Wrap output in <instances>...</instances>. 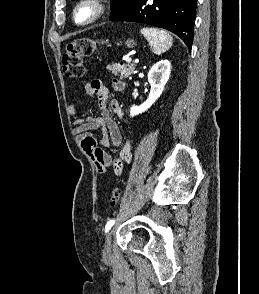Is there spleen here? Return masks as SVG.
<instances>
[{
  "instance_id": "spleen-1",
  "label": "spleen",
  "mask_w": 259,
  "mask_h": 294,
  "mask_svg": "<svg viewBox=\"0 0 259 294\" xmlns=\"http://www.w3.org/2000/svg\"><path fill=\"white\" fill-rule=\"evenodd\" d=\"M141 34L147 39L156 55L166 52L172 46L173 38L165 30L146 27L141 29Z\"/></svg>"
}]
</instances>
